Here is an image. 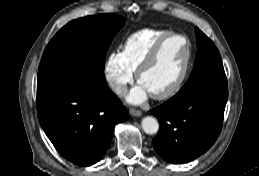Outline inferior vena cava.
Returning <instances> with one entry per match:
<instances>
[{"instance_id":"1","label":"inferior vena cava","mask_w":259,"mask_h":176,"mask_svg":"<svg viewBox=\"0 0 259 176\" xmlns=\"http://www.w3.org/2000/svg\"><path fill=\"white\" fill-rule=\"evenodd\" d=\"M111 87L119 95H123L127 92V86L118 82H113Z\"/></svg>"}]
</instances>
